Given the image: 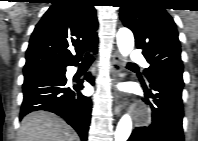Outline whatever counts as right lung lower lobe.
Here are the masks:
<instances>
[{
  "instance_id": "obj_1",
  "label": "right lung lower lobe",
  "mask_w": 198,
  "mask_h": 141,
  "mask_svg": "<svg viewBox=\"0 0 198 141\" xmlns=\"http://www.w3.org/2000/svg\"><path fill=\"white\" fill-rule=\"evenodd\" d=\"M88 49L96 52L97 43ZM80 59L81 57L68 65L76 66ZM66 66L24 76L20 119L32 111H50L64 118L81 139L86 141L92 101L80 92L83 80L72 84L67 82ZM85 80L94 84V77L90 73L85 75Z\"/></svg>"
}]
</instances>
